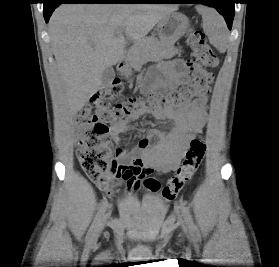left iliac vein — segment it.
Returning <instances> with one entry per match:
<instances>
[{"mask_svg":"<svg viewBox=\"0 0 279 267\" xmlns=\"http://www.w3.org/2000/svg\"><path fill=\"white\" fill-rule=\"evenodd\" d=\"M182 226H183V230H184L185 234L190 238L191 234H190V231L188 230L187 226L185 224H183Z\"/></svg>","mask_w":279,"mask_h":267,"instance_id":"4c4485c4","label":"left iliac vein"}]
</instances>
